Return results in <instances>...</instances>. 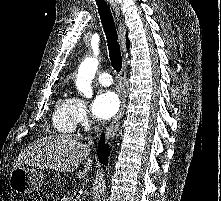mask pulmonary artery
Returning a JSON list of instances; mask_svg holds the SVG:
<instances>
[{
	"instance_id": "1",
	"label": "pulmonary artery",
	"mask_w": 221,
	"mask_h": 201,
	"mask_svg": "<svg viewBox=\"0 0 221 201\" xmlns=\"http://www.w3.org/2000/svg\"><path fill=\"white\" fill-rule=\"evenodd\" d=\"M98 80L102 86H110L112 84V77L108 72L101 73Z\"/></svg>"
}]
</instances>
